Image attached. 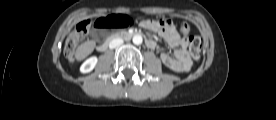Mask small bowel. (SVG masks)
Wrapping results in <instances>:
<instances>
[{
	"label": "small bowel",
	"mask_w": 276,
	"mask_h": 120,
	"mask_svg": "<svg viewBox=\"0 0 276 120\" xmlns=\"http://www.w3.org/2000/svg\"><path fill=\"white\" fill-rule=\"evenodd\" d=\"M141 26L144 29L158 33L170 47L175 49L173 54L164 50L160 53L161 60L167 67L177 72H185L190 69L192 62L187 53V40L180 38L172 25L163 27L159 20H143ZM92 36L94 38L98 37V32L93 31ZM148 40L149 44L147 46L149 48H157L155 41Z\"/></svg>",
	"instance_id": "obj_1"
}]
</instances>
